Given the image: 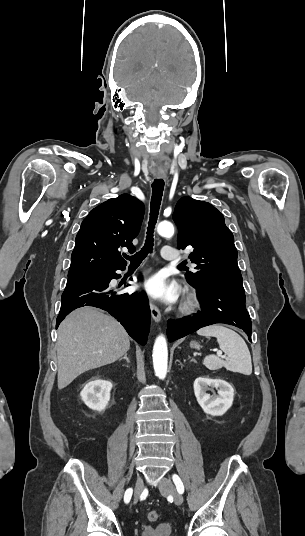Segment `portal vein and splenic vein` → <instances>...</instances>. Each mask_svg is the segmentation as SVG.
<instances>
[{
    "label": "portal vein and splenic vein",
    "instance_id": "18ae733b",
    "mask_svg": "<svg viewBox=\"0 0 305 536\" xmlns=\"http://www.w3.org/2000/svg\"><path fill=\"white\" fill-rule=\"evenodd\" d=\"M217 354L218 356H221V358H226V356H222V352H220V350H218Z\"/></svg>",
    "mask_w": 305,
    "mask_h": 536
}]
</instances>
